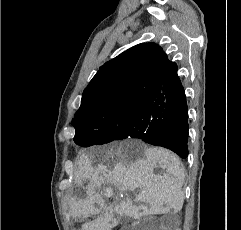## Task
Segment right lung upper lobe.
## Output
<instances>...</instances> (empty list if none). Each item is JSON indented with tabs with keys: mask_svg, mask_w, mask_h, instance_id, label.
I'll return each mask as SVG.
<instances>
[{
	"mask_svg": "<svg viewBox=\"0 0 241 230\" xmlns=\"http://www.w3.org/2000/svg\"><path fill=\"white\" fill-rule=\"evenodd\" d=\"M172 63L155 43L136 45L106 62L85 88L72 125L101 121L115 109H130L153 102Z\"/></svg>",
	"mask_w": 241,
	"mask_h": 230,
	"instance_id": "1",
	"label": "right lung upper lobe"
}]
</instances>
